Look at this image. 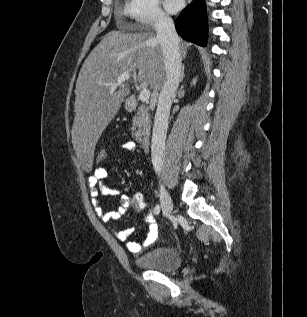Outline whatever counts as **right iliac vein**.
<instances>
[{
  "label": "right iliac vein",
  "instance_id": "obj_1",
  "mask_svg": "<svg viewBox=\"0 0 307 317\" xmlns=\"http://www.w3.org/2000/svg\"><path fill=\"white\" fill-rule=\"evenodd\" d=\"M160 200L163 214L168 216L173 208L172 199L163 185L160 187Z\"/></svg>",
  "mask_w": 307,
  "mask_h": 317
}]
</instances>
